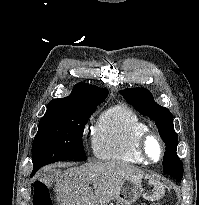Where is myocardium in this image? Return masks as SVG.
<instances>
[{"label": "myocardium", "mask_w": 199, "mask_h": 205, "mask_svg": "<svg viewBox=\"0 0 199 205\" xmlns=\"http://www.w3.org/2000/svg\"><path fill=\"white\" fill-rule=\"evenodd\" d=\"M151 141H155L159 145L160 157L158 160H153L150 156L149 146ZM137 152L147 163L156 164L164 158L165 145L161 136L157 132L153 130H147L146 132L141 134L138 138Z\"/></svg>", "instance_id": "myocardium-1"}]
</instances>
